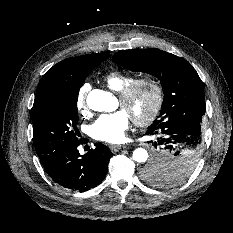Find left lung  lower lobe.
<instances>
[{"label": "left lung lower lobe", "mask_w": 233, "mask_h": 233, "mask_svg": "<svg viewBox=\"0 0 233 233\" xmlns=\"http://www.w3.org/2000/svg\"><path fill=\"white\" fill-rule=\"evenodd\" d=\"M146 135H155L156 141L151 143L157 149L151 162L164 164L172 158H177L185 154L201 155L202 131L201 121L195 117L177 118L165 123L149 127ZM166 154L165 161L161 155Z\"/></svg>", "instance_id": "left-lung-lower-lobe-1"}]
</instances>
